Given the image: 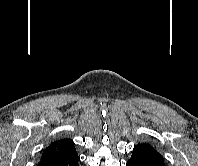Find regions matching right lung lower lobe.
<instances>
[{
	"label": "right lung lower lobe",
	"instance_id": "right-lung-lower-lobe-1",
	"mask_svg": "<svg viewBox=\"0 0 198 166\" xmlns=\"http://www.w3.org/2000/svg\"><path fill=\"white\" fill-rule=\"evenodd\" d=\"M79 157H71L61 161L39 162L38 166H77Z\"/></svg>",
	"mask_w": 198,
	"mask_h": 166
}]
</instances>
